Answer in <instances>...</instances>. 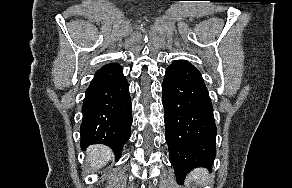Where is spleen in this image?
Wrapping results in <instances>:
<instances>
[{
  "instance_id": "1",
  "label": "spleen",
  "mask_w": 292,
  "mask_h": 188,
  "mask_svg": "<svg viewBox=\"0 0 292 188\" xmlns=\"http://www.w3.org/2000/svg\"><path fill=\"white\" fill-rule=\"evenodd\" d=\"M191 178L196 181L198 185H203L206 183L208 178V173L205 169H195L191 172Z\"/></svg>"
}]
</instances>
